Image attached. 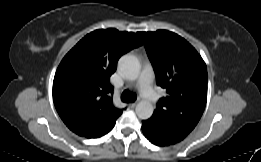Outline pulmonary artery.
I'll use <instances>...</instances> for the list:
<instances>
[{"instance_id":"e3ab8cb5","label":"pulmonary artery","mask_w":261,"mask_h":162,"mask_svg":"<svg viewBox=\"0 0 261 162\" xmlns=\"http://www.w3.org/2000/svg\"><path fill=\"white\" fill-rule=\"evenodd\" d=\"M153 70L150 64H146L136 82V87L142 96L148 102H154L158 99L157 93L151 87Z\"/></svg>"}]
</instances>
